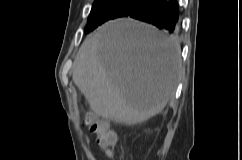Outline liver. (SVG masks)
Here are the masks:
<instances>
[{
  "mask_svg": "<svg viewBox=\"0 0 242 160\" xmlns=\"http://www.w3.org/2000/svg\"><path fill=\"white\" fill-rule=\"evenodd\" d=\"M180 44L133 19L110 21L89 35L73 81L97 115L126 125L160 113L181 73Z\"/></svg>",
  "mask_w": 242,
  "mask_h": 160,
  "instance_id": "liver-1",
  "label": "liver"
}]
</instances>
